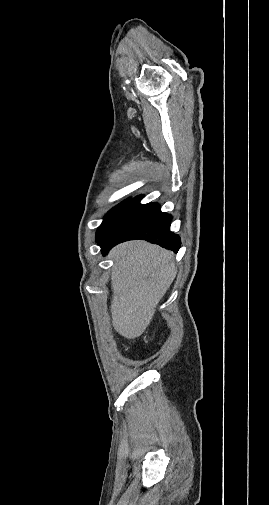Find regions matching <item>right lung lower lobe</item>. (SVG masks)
I'll return each mask as SVG.
<instances>
[{"label":"right lung lower lobe","mask_w":269,"mask_h":505,"mask_svg":"<svg viewBox=\"0 0 269 505\" xmlns=\"http://www.w3.org/2000/svg\"><path fill=\"white\" fill-rule=\"evenodd\" d=\"M142 198L132 199L111 223L98 242L103 255L118 243L134 239L147 240L178 252L181 240L170 231L171 215L161 212L157 203L140 204Z\"/></svg>","instance_id":"98d812e1"}]
</instances>
